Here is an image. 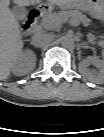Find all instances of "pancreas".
<instances>
[{
    "mask_svg": "<svg viewBox=\"0 0 104 137\" xmlns=\"http://www.w3.org/2000/svg\"><path fill=\"white\" fill-rule=\"evenodd\" d=\"M69 18H71L72 24H78L80 22H83V23L89 22V19L78 11H62V12H59L58 14L47 15L43 19L42 25L47 29L55 28L62 23L68 22ZM90 41L94 43L93 40H90Z\"/></svg>",
    "mask_w": 104,
    "mask_h": 137,
    "instance_id": "1",
    "label": "pancreas"
}]
</instances>
